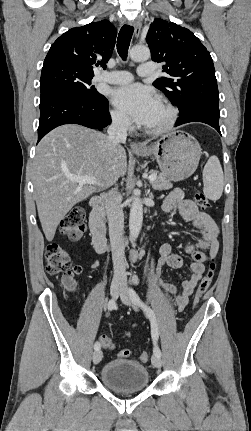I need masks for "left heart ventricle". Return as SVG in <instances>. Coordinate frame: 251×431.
Segmentation results:
<instances>
[{"instance_id": "b2bd125f", "label": "left heart ventricle", "mask_w": 251, "mask_h": 431, "mask_svg": "<svg viewBox=\"0 0 251 431\" xmlns=\"http://www.w3.org/2000/svg\"><path fill=\"white\" fill-rule=\"evenodd\" d=\"M167 115V110L160 103H158L145 126L157 127L166 120Z\"/></svg>"}]
</instances>
